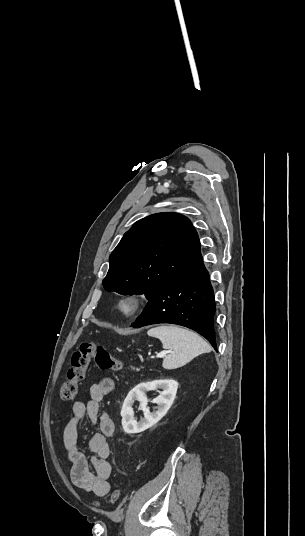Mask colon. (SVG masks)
I'll return each mask as SVG.
<instances>
[{"label":"colon","mask_w":305,"mask_h":536,"mask_svg":"<svg viewBox=\"0 0 305 536\" xmlns=\"http://www.w3.org/2000/svg\"><path fill=\"white\" fill-rule=\"evenodd\" d=\"M92 359L104 370L121 372L125 369V363L120 359L113 358L105 346L92 341H82L72 353L68 379L61 385L60 399L63 402H71L74 399L79 385L86 378L88 366ZM119 496V489H113L110 497L111 504H115L119 500Z\"/></svg>","instance_id":"1"}]
</instances>
